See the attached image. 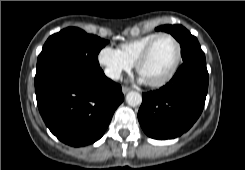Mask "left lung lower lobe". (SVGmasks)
I'll list each match as a JSON object with an SVG mask.
<instances>
[{"instance_id":"1","label":"left lung lower lobe","mask_w":245,"mask_h":170,"mask_svg":"<svg viewBox=\"0 0 245 170\" xmlns=\"http://www.w3.org/2000/svg\"><path fill=\"white\" fill-rule=\"evenodd\" d=\"M208 90L206 64L185 62L159 90L142 95L138 112L144 132L154 139H172L199 118Z\"/></svg>"}]
</instances>
